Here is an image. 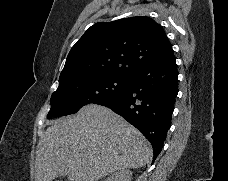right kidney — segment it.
Listing matches in <instances>:
<instances>
[{
  "instance_id": "obj_1",
  "label": "right kidney",
  "mask_w": 228,
  "mask_h": 181,
  "mask_svg": "<svg viewBox=\"0 0 228 181\" xmlns=\"http://www.w3.org/2000/svg\"><path fill=\"white\" fill-rule=\"evenodd\" d=\"M107 181H132V173L129 169H122V171L110 175Z\"/></svg>"
}]
</instances>
